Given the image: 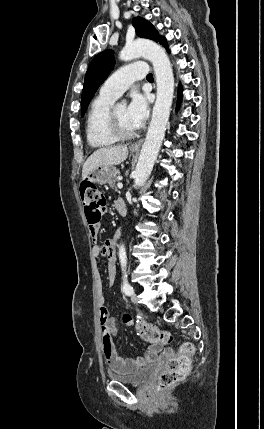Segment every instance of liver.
Returning <instances> with one entry per match:
<instances>
[{"instance_id":"6515ba94","label":"liver","mask_w":264,"mask_h":429,"mask_svg":"<svg viewBox=\"0 0 264 429\" xmlns=\"http://www.w3.org/2000/svg\"><path fill=\"white\" fill-rule=\"evenodd\" d=\"M127 157L128 148L126 145L100 148L85 161L82 169V178L85 179L99 166L117 165L126 160Z\"/></svg>"}]
</instances>
